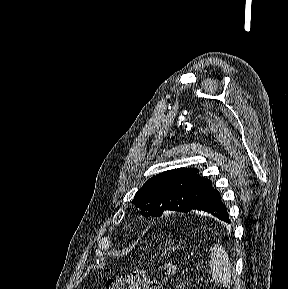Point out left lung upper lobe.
Segmentation results:
<instances>
[{"mask_svg": "<svg viewBox=\"0 0 288 289\" xmlns=\"http://www.w3.org/2000/svg\"><path fill=\"white\" fill-rule=\"evenodd\" d=\"M196 168H180L150 178L135 194L132 203L143 216H161L166 210L189 212L212 188L211 181Z\"/></svg>", "mask_w": 288, "mask_h": 289, "instance_id": "1", "label": "left lung upper lobe"}]
</instances>
